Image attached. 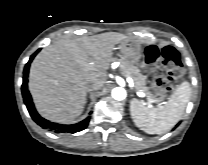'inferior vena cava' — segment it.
<instances>
[{
    "label": "inferior vena cava",
    "instance_id": "inferior-vena-cava-1",
    "mask_svg": "<svg viewBox=\"0 0 208 165\" xmlns=\"http://www.w3.org/2000/svg\"><path fill=\"white\" fill-rule=\"evenodd\" d=\"M98 89H100L99 85H90L88 87V91H94V90H98Z\"/></svg>",
    "mask_w": 208,
    "mask_h": 165
}]
</instances>
